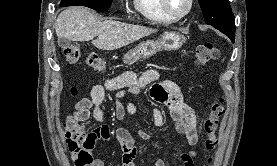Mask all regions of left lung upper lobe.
I'll return each instance as SVG.
<instances>
[{"instance_id":"obj_1","label":"left lung upper lobe","mask_w":277,"mask_h":166,"mask_svg":"<svg viewBox=\"0 0 277 166\" xmlns=\"http://www.w3.org/2000/svg\"><path fill=\"white\" fill-rule=\"evenodd\" d=\"M205 22L235 39L234 17L228 0H198Z\"/></svg>"}]
</instances>
